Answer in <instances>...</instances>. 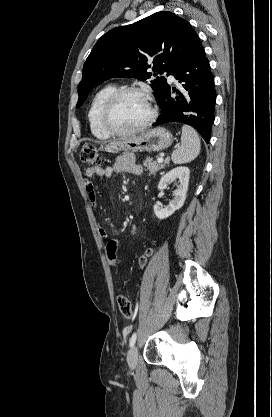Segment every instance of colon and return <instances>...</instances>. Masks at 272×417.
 <instances>
[{
	"mask_svg": "<svg viewBox=\"0 0 272 417\" xmlns=\"http://www.w3.org/2000/svg\"><path fill=\"white\" fill-rule=\"evenodd\" d=\"M80 159L87 165H97L100 163V154L98 149L91 143H85L82 146L80 152ZM119 248V242L117 240H109L106 243V253L109 261V265L113 270L117 269V250ZM153 250L148 249L140 258V266L145 267L148 258L152 255ZM117 303L121 314L130 319L134 316L131 301L127 294H120L117 297Z\"/></svg>",
	"mask_w": 272,
	"mask_h": 417,
	"instance_id": "colon-1",
	"label": "colon"
}]
</instances>
